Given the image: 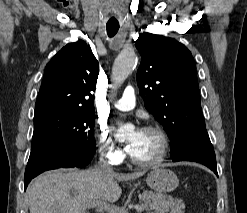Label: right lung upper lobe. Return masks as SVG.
Here are the masks:
<instances>
[{"label": "right lung upper lobe", "instance_id": "right-lung-upper-lobe-1", "mask_svg": "<svg viewBox=\"0 0 247 213\" xmlns=\"http://www.w3.org/2000/svg\"><path fill=\"white\" fill-rule=\"evenodd\" d=\"M99 63L84 41L67 44L46 65L35 113L49 109L94 111Z\"/></svg>", "mask_w": 247, "mask_h": 213}]
</instances>
